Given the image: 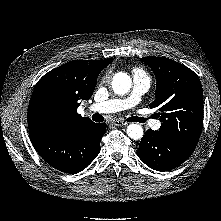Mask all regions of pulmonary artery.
<instances>
[{"instance_id": "1", "label": "pulmonary artery", "mask_w": 221, "mask_h": 221, "mask_svg": "<svg viewBox=\"0 0 221 221\" xmlns=\"http://www.w3.org/2000/svg\"><path fill=\"white\" fill-rule=\"evenodd\" d=\"M150 87L151 79L147 75L135 74L133 77V90L130 96L125 99H109L94 103L90 106V110L99 113H113L133 108L140 102L142 96L148 92ZM144 120L145 122L147 121L146 119ZM149 125L157 130L160 128L161 122L151 120Z\"/></svg>"}]
</instances>
